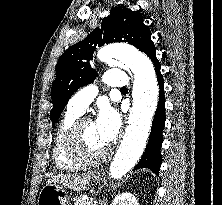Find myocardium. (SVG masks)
Returning <instances> with one entry per match:
<instances>
[{"instance_id":"1","label":"myocardium","mask_w":222,"mask_h":205,"mask_svg":"<svg viewBox=\"0 0 222 205\" xmlns=\"http://www.w3.org/2000/svg\"><path fill=\"white\" fill-rule=\"evenodd\" d=\"M86 122H91L89 118L77 119L66 136V149L69 156L80 164L94 165L104 161L110 154L111 149L107 147L100 154L89 156L82 146V127Z\"/></svg>"}]
</instances>
